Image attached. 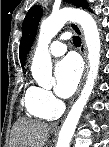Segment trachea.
I'll return each mask as SVG.
<instances>
[{"mask_svg":"<svg viewBox=\"0 0 109 147\" xmlns=\"http://www.w3.org/2000/svg\"><path fill=\"white\" fill-rule=\"evenodd\" d=\"M74 45H81V38L79 36H73Z\"/></svg>","mask_w":109,"mask_h":147,"instance_id":"trachea-1","label":"trachea"}]
</instances>
